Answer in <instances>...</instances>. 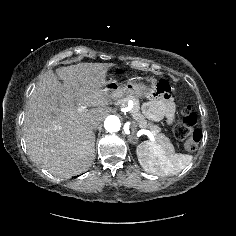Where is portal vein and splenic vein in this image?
Here are the masks:
<instances>
[{"instance_id": "1", "label": "portal vein and splenic vein", "mask_w": 236, "mask_h": 236, "mask_svg": "<svg viewBox=\"0 0 236 236\" xmlns=\"http://www.w3.org/2000/svg\"><path fill=\"white\" fill-rule=\"evenodd\" d=\"M77 109L79 112L85 111V107H83V106H78ZM144 134L147 135L151 141H154V134L152 131L144 130Z\"/></svg>"}]
</instances>
